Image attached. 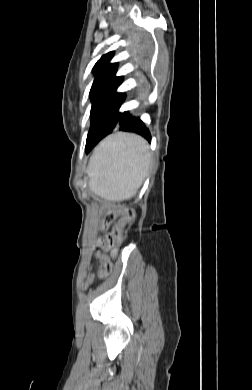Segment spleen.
Masks as SVG:
<instances>
[{
  "label": "spleen",
  "instance_id": "1",
  "mask_svg": "<svg viewBox=\"0 0 252 390\" xmlns=\"http://www.w3.org/2000/svg\"><path fill=\"white\" fill-rule=\"evenodd\" d=\"M150 162L148 145L137 135L118 133L103 141L88 165L89 188L109 201L134 196Z\"/></svg>",
  "mask_w": 252,
  "mask_h": 390
}]
</instances>
